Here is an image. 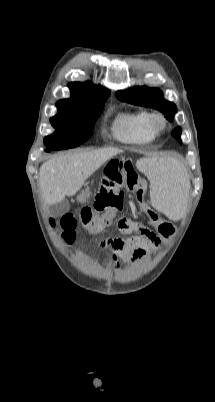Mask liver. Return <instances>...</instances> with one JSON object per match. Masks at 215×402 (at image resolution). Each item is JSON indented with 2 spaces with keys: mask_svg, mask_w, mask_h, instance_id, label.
<instances>
[{
  "mask_svg": "<svg viewBox=\"0 0 215 402\" xmlns=\"http://www.w3.org/2000/svg\"><path fill=\"white\" fill-rule=\"evenodd\" d=\"M121 152L117 148H103L58 156L44 162L39 170V186L45 205L56 204L65 196H74L98 168Z\"/></svg>",
  "mask_w": 215,
  "mask_h": 402,
  "instance_id": "obj_1",
  "label": "liver"
}]
</instances>
